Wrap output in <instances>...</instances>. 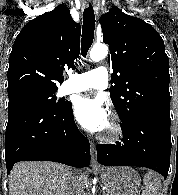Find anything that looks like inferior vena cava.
Masks as SVG:
<instances>
[{
	"label": "inferior vena cava",
	"mask_w": 178,
	"mask_h": 195,
	"mask_svg": "<svg viewBox=\"0 0 178 195\" xmlns=\"http://www.w3.org/2000/svg\"><path fill=\"white\" fill-rule=\"evenodd\" d=\"M78 177L74 174L72 176V194L73 195H81V190L79 184L77 182Z\"/></svg>",
	"instance_id": "602c4592"
}]
</instances>
